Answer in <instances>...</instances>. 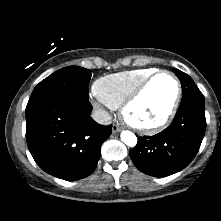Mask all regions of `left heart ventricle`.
<instances>
[{
  "label": "left heart ventricle",
  "mask_w": 221,
  "mask_h": 221,
  "mask_svg": "<svg viewBox=\"0 0 221 221\" xmlns=\"http://www.w3.org/2000/svg\"><path fill=\"white\" fill-rule=\"evenodd\" d=\"M176 94V85L166 74L156 77L128 110L129 119L138 125H153L168 113Z\"/></svg>",
  "instance_id": "left-heart-ventricle-1"
}]
</instances>
